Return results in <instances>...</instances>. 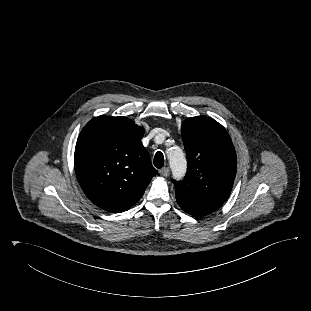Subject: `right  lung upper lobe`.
Segmentation results:
<instances>
[{
	"label": "right lung upper lobe",
	"instance_id": "1",
	"mask_svg": "<svg viewBox=\"0 0 311 311\" xmlns=\"http://www.w3.org/2000/svg\"><path fill=\"white\" fill-rule=\"evenodd\" d=\"M144 129L125 117L98 116L82 129L75 147L78 182L96 206L113 213L128 210L153 176Z\"/></svg>",
	"mask_w": 311,
	"mask_h": 311
}]
</instances>
